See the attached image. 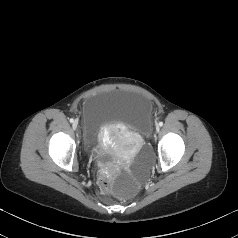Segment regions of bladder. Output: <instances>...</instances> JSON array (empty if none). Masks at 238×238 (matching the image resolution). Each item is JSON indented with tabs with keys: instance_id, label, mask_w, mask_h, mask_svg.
I'll list each match as a JSON object with an SVG mask.
<instances>
[{
	"instance_id": "obj_1",
	"label": "bladder",
	"mask_w": 238,
	"mask_h": 238,
	"mask_svg": "<svg viewBox=\"0 0 238 238\" xmlns=\"http://www.w3.org/2000/svg\"><path fill=\"white\" fill-rule=\"evenodd\" d=\"M152 102L139 93L109 90L85 100L82 110L83 142L94 148L102 129L121 123L141 136L149 134L152 126Z\"/></svg>"
}]
</instances>
